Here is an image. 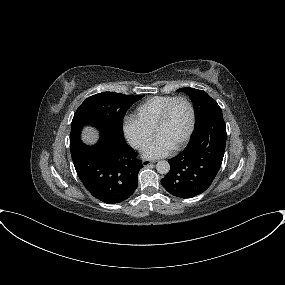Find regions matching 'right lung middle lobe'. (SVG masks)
I'll list each match as a JSON object with an SVG mask.
<instances>
[{
	"label": "right lung middle lobe",
	"mask_w": 285,
	"mask_h": 285,
	"mask_svg": "<svg viewBox=\"0 0 285 285\" xmlns=\"http://www.w3.org/2000/svg\"><path fill=\"white\" fill-rule=\"evenodd\" d=\"M142 97L143 95L130 96L115 92H102L90 96L75 112L72 127L90 124L124 138V115L128 108Z\"/></svg>",
	"instance_id": "1"
}]
</instances>
